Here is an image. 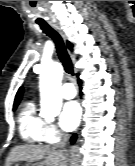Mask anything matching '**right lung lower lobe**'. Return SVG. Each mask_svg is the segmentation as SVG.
Listing matches in <instances>:
<instances>
[{"label":"right lung lower lobe","instance_id":"1","mask_svg":"<svg viewBox=\"0 0 135 166\" xmlns=\"http://www.w3.org/2000/svg\"><path fill=\"white\" fill-rule=\"evenodd\" d=\"M78 84H79V86L81 87L82 82H81L80 79H78ZM80 95H82V93H81ZM75 140H76V135L74 134L73 137L71 138V141H72L71 143H74Z\"/></svg>","mask_w":135,"mask_h":166}]
</instances>
